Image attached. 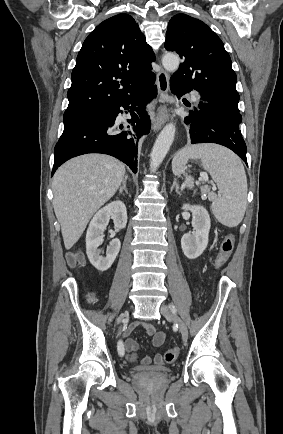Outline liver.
Listing matches in <instances>:
<instances>
[{"mask_svg": "<svg viewBox=\"0 0 283 434\" xmlns=\"http://www.w3.org/2000/svg\"><path fill=\"white\" fill-rule=\"evenodd\" d=\"M125 166L104 154H85L64 163L53 177V207L64 245L73 247L93 214L118 190Z\"/></svg>", "mask_w": 283, "mask_h": 434, "instance_id": "obj_1", "label": "liver"}]
</instances>
